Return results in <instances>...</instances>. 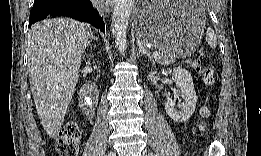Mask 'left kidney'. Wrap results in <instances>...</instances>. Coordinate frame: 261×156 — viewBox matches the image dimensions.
I'll use <instances>...</instances> for the list:
<instances>
[{"label": "left kidney", "instance_id": "left-kidney-1", "mask_svg": "<svg viewBox=\"0 0 261 156\" xmlns=\"http://www.w3.org/2000/svg\"><path fill=\"white\" fill-rule=\"evenodd\" d=\"M172 79L180 89L183 102L176 106L172 98L165 102L167 114L176 122L182 123L189 120L195 111L197 96L191 74L183 68L173 70Z\"/></svg>", "mask_w": 261, "mask_h": 156}]
</instances>
